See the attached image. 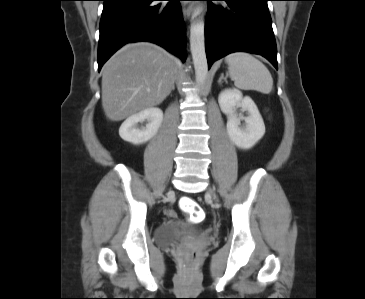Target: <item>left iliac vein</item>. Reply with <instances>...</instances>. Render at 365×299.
<instances>
[{
	"label": "left iliac vein",
	"mask_w": 365,
	"mask_h": 299,
	"mask_svg": "<svg viewBox=\"0 0 365 299\" xmlns=\"http://www.w3.org/2000/svg\"><path fill=\"white\" fill-rule=\"evenodd\" d=\"M211 194L213 195V197H214V199H215V195H214V193H213V192H211Z\"/></svg>",
	"instance_id": "4c4485c4"
}]
</instances>
